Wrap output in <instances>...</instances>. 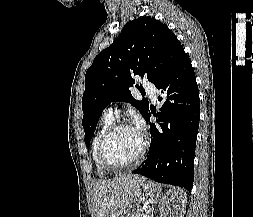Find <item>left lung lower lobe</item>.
<instances>
[{
  "label": "left lung lower lobe",
  "mask_w": 253,
  "mask_h": 217,
  "mask_svg": "<svg viewBox=\"0 0 253 217\" xmlns=\"http://www.w3.org/2000/svg\"><path fill=\"white\" fill-rule=\"evenodd\" d=\"M155 86L162 92L158 97L161 112L155 115L158 124L150 123L149 154L133 173L191 190L200 102L195 73L185 52ZM150 116L148 110L147 122Z\"/></svg>",
  "instance_id": "1"
}]
</instances>
